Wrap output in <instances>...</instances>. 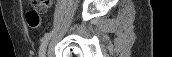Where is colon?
I'll return each mask as SVG.
<instances>
[{"mask_svg":"<svg viewBox=\"0 0 172 57\" xmlns=\"http://www.w3.org/2000/svg\"><path fill=\"white\" fill-rule=\"evenodd\" d=\"M45 0H33L32 5H40ZM26 22L31 29H38L41 26V18L37 10L30 9L26 14Z\"/></svg>","mask_w":172,"mask_h":57,"instance_id":"1","label":"colon"}]
</instances>
